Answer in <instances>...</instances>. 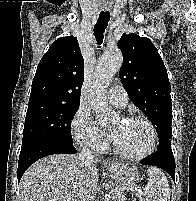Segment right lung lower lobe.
Returning a JSON list of instances; mask_svg holds the SVG:
<instances>
[{
  "label": "right lung lower lobe",
  "mask_w": 196,
  "mask_h": 201,
  "mask_svg": "<svg viewBox=\"0 0 196 201\" xmlns=\"http://www.w3.org/2000/svg\"><path fill=\"white\" fill-rule=\"evenodd\" d=\"M76 149L73 144H66L64 142L37 139L22 145L19 162H18V181L27 168L38 159L51 154H74Z\"/></svg>",
  "instance_id": "98d812e1"
}]
</instances>
